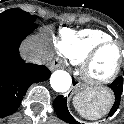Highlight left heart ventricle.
I'll return each instance as SVG.
<instances>
[{
    "mask_svg": "<svg viewBox=\"0 0 124 124\" xmlns=\"http://www.w3.org/2000/svg\"><path fill=\"white\" fill-rule=\"evenodd\" d=\"M119 61V51L115 46L101 50L91 65V74L98 79L109 76Z\"/></svg>",
    "mask_w": 124,
    "mask_h": 124,
    "instance_id": "obj_1",
    "label": "left heart ventricle"
}]
</instances>
